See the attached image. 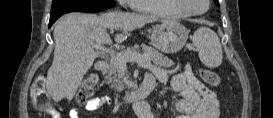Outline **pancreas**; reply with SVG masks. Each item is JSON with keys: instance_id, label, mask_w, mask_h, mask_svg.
I'll list each match as a JSON object with an SVG mask.
<instances>
[{"instance_id": "cf45deb5", "label": "pancreas", "mask_w": 273, "mask_h": 118, "mask_svg": "<svg viewBox=\"0 0 273 118\" xmlns=\"http://www.w3.org/2000/svg\"><path fill=\"white\" fill-rule=\"evenodd\" d=\"M143 55L148 57V60H151L154 64L160 67H171L174 65V62L168 57H165L162 53L158 52L153 47H149L145 44L141 45ZM138 46L128 47L121 53L125 52H137ZM126 75V78H124ZM129 78L127 72V62L122 60L120 57L112 56L110 63L108 65L107 74L105 76V83L110 85V88L114 89L117 92H121L124 89H131L134 86V83L128 81Z\"/></svg>"}]
</instances>
